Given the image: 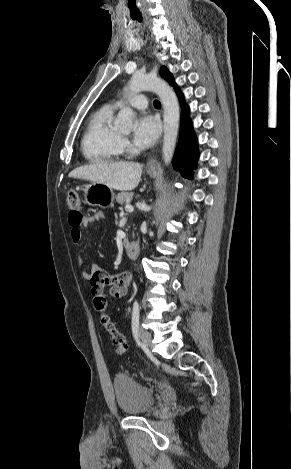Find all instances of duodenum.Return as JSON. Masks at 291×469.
Segmentation results:
<instances>
[{
    "label": "duodenum",
    "instance_id": "410a0bca",
    "mask_svg": "<svg viewBox=\"0 0 291 469\" xmlns=\"http://www.w3.org/2000/svg\"><path fill=\"white\" fill-rule=\"evenodd\" d=\"M126 255L130 259H136L140 253V245L138 242H129L125 245Z\"/></svg>",
    "mask_w": 291,
    "mask_h": 469
}]
</instances>
